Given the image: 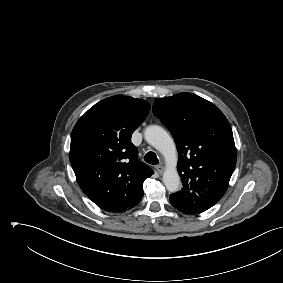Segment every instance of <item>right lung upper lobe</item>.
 Returning a JSON list of instances; mask_svg holds the SVG:
<instances>
[{
  "mask_svg": "<svg viewBox=\"0 0 283 283\" xmlns=\"http://www.w3.org/2000/svg\"><path fill=\"white\" fill-rule=\"evenodd\" d=\"M150 104L116 95L91 107L71 133L69 159L77 182L101 209L123 212L143 197V182L153 171L140 163L131 135Z\"/></svg>",
  "mask_w": 283,
  "mask_h": 283,
  "instance_id": "right-lung-upper-lobe-1",
  "label": "right lung upper lobe"
}]
</instances>
